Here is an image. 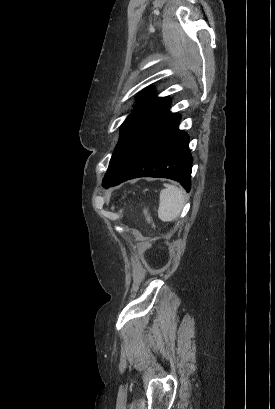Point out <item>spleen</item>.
<instances>
[{"label": "spleen", "instance_id": "3e777b00", "mask_svg": "<svg viewBox=\"0 0 275 409\" xmlns=\"http://www.w3.org/2000/svg\"><path fill=\"white\" fill-rule=\"evenodd\" d=\"M160 190L158 217L164 223L174 221L180 215L184 205V190L174 184H164Z\"/></svg>", "mask_w": 275, "mask_h": 409}]
</instances>
